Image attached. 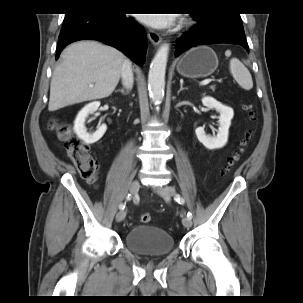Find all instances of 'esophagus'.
<instances>
[{
  "label": "esophagus",
  "instance_id": "obj_1",
  "mask_svg": "<svg viewBox=\"0 0 303 303\" xmlns=\"http://www.w3.org/2000/svg\"><path fill=\"white\" fill-rule=\"evenodd\" d=\"M148 38L154 46H158L162 41L161 36L154 30H148Z\"/></svg>",
  "mask_w": 303,
  "mask_h": 303
}]
</instances>
